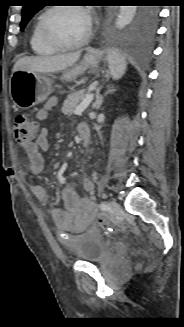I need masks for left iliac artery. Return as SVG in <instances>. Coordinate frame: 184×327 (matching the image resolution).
I'll use <instances>...</instances> for the list:
<instances>
[{"mask_svg": "<svg viewBox=\"0 0 184 327\" xmlns=\"http://www.w3.org/2000/svg\"><path fill=\"white\" fill-rule=\"evenodd\" d=\"M110 207L109 203L107 201H103L100 203L101 210H108Z\"/></svg>", "mask_w": 184, "mask_h": 327, "instance_id": "left-iliac-artery-1", "label": "left iliac artery"}]
</instances>
